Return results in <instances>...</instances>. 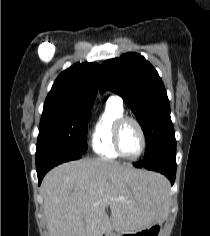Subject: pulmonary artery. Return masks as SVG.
<instances>
[{
    "label": "pulmonary artery",
    "instance_id": "obj_1",
    "mask_svg": "<svg viewBox=\"0 0 210 236\" xmlns=\"http://www.w3.org/2000/svg\"><path fill=\"white\" fill-rule=\"evenodd\" d=\"M109 99L114 100L119 104H122V99L119 96H112Z\"/></svg>",
    "mask_w": 210,
    "mask_h": 236
}]
</instances>
